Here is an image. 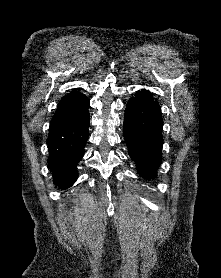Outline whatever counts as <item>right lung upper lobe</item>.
Instances as JSON below:
<instances>
[{"instance_id":"cb5924a9","label":"right lung upper lobe","mask_w":221,"mask_h":278,"mask_svg":"<svg viewBox=\"0 0 221 278\" xmlns=\"http://www.w3.org/2000/svg\"><path fill=\"white\" fill-rule=\"evenodd\" d=\"M88 106L89 100L82 93L73 91L67 94L59 102L50 124V131L78 117Z\"/></svg>"}]
</instances>
